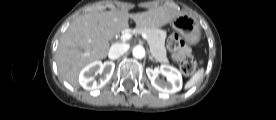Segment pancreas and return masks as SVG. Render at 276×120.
Returning <instances> with one entry per match:
<instances>
[{"label": "pancreas", "instance_id": "cf45deb5", "mask_svg": "<svg viewBox=\"0 0 276 120\" xmlns=\"http://www.w3.org/2000/svg\"><path fill=\"white\" fill-rule=\"evenodd\" d=\"M133 33H144L147 35L150 51L158 62L168 63L166 48L164 46L166 32L156 28H136Z\"/></svg>", "mask_w": 276, "mask_h": 120}]
</instances>
